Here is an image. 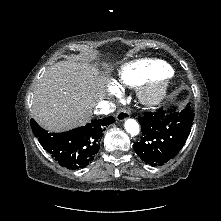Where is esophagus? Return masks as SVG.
<instances>
[{
	"label": "esophagus",
	"mask_w": 221,
	"mask_h": 221,
	"mask_svg": "<svg viewBox=\"0 0 221 221\" xmlns=\"http://www.w3.org/2000/svg\"><path fill=\"white\" fill-rule=\"evenodd\" d=\"M130 117V113L128 110L122 108L116 114V119L118 121H124Z\"/></svg>",
	"instance_id": "1"
}]
</instances>
